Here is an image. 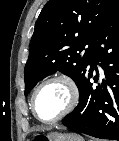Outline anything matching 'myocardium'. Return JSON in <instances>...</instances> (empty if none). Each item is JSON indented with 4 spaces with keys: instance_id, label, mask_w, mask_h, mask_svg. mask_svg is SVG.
Wrapping results in <instances>:
<instances>
[{
    "instance_id": "myocardium-1",
    "label": "myocardium",
    "mask_w": 119,
    "mask_h": 141,
    "mask_svg": "<svg viewBox=\"0 0 119 141\" xmlns=\"http://www.w3.org/2000/svg\"><path fill=\"white\" fill-rule=\"evenodd\" d=\"M54 82L62 83L66 87L68 91V101L64 109L58 115H56L52 119L44 120L41 119L36 112V107H35L36 97L39 91L44 86ZM78 102H79V89L73 78H71L66 74H57L45 79L35 88L31 97V110L35 118L38 119L40 122L50 124V123H55L66 117L68 114H70L76 108Z\"/></svg>"
}]
</instances>
